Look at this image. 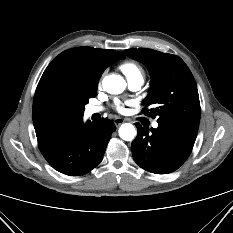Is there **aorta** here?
I'll list each match as a JSON object with an SVG mask.
<instances>
[{
    "instance_id": "762f6f07",
    "label": "aorta",
    "mask_w": 233,
    "mask_h": 233,
    "mask_svg": "<svg viewBox=\"0 0 233 233\" xmlns=\"http://www.w3.org/2000/svg\"><path fill=\"white\" fill-rule=\"evenodd\" d=\"M105 91L111 94L122 93L127 84L120 75H109L104 77L102 82ZM119 136L125 141H131L136 136L135 127L130 123L122 124L119 128Z\"/></svg>"
}]
</instances>
